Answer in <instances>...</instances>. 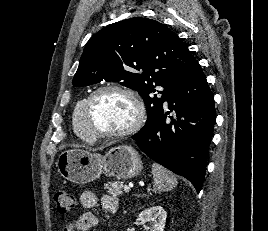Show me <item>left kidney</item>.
I'll return each mask as SVG.
<instances>
[{"label":"left kidney","instance_id":"5707ae66","mask_svg":"<svg viewBox=\"0 0 268 231\" xmlns=\"http://www.w3.org/2000/svg\"><path fill=\"white\" fill-rule=\"evenodd\" d=\"M167 218V212L161 206H153L143 210L139 214L138 220L144 225L146 231H164V226ZM150 222V226L145 223Z\"/></svg>","mask_w":268,"mask_h":231}]
</instances>
